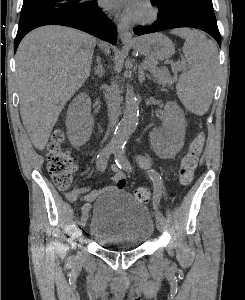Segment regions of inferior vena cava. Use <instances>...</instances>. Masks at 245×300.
I'll use <instances>...</instances> for the list:
<instances>
[{"label":"inferior vena cava","mask_w":245,"mask_h":300,"mask_svg":"<svg viewBox=\"0 0 245 300\" xmlns=\"http://www.w3.org/2000/svg\"><path fill=\"white\" fill-rule=\"evenodd\" d=\"M106 100L110 115V126L113 128L118 121L121 103L120 90L114 81L107 88Z\"/></svg>","instance_id":"1"}]
</instances>
